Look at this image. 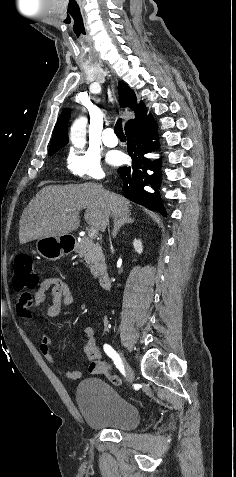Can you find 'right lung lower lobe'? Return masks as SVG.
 Here are the masks:
<instances>
[{"mask_svg":"<svg viewBox=\"0 0 236 477\" xmlns=\"http://www.w3.org/2000/svg\"><path fill=\"white\" fill-rule=\"evenodd\" d=\"M127 136V151L132 158V165L120 167L118 173L123 180V194L131 201L145 205L151 210H156L165 215L157 188L160 186V161L151 162L144 155L158 148L157 126L150 122L135 125L125 131ZM155 140V141H152ZM153 170V175H148L147 170ZM151 184L156 190L148 194L144 186Z\"/></svg>","mask_w":236,"mask_h":477,"instance_id":"98d812e1","label":"right lung lower lobe"}]
</instances>
